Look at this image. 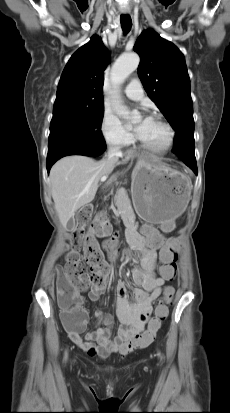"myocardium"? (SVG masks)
Wrapping results in <instances>:
<instances>
[{
	"label": "myocardium",
	"instance_id": "myocardium-1",
	"mask_svg": "<svg viewBox=\"0 0 230 413\" xmlns=\"http://www.w3.org/2000/svg\"><path fill=\"white\" fill-rule=\"evenodd\" d=\"M152 120L158 121L165 128L167 132L166 140L160 145H152V144L146 143L140 138H138V140L141 146L148 151H152L156 153L167 151L172 146L173 141H174V135H175L174 129L168 121H166L164 118H162L159 115H153Z\"/></svg>",
	"mask_w": 230,
	"mask_h": 413
}]
</instances>
